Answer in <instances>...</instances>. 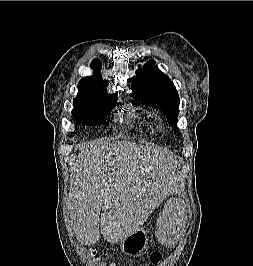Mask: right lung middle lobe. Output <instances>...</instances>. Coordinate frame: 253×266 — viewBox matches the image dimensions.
I'll return each mask as SVG.
<instances>
[{
	"label": "right lung middle lobe",
	"mask_w": 253,
	"mask_h": 266,
	"mask_svg": "<svg viewBox=\"0 0 253 266\" xmlns=\"http://www.w3.org/2000/svg\"><path fill=\"white\" fill-rule=\"evenodd\" d=\"M117 97L84 105H74L72 115L77 122L87 126L103 125L112 111Z\"/></svg>",
	"instance_id": "dd1d6c3e"
}]
</instances>
